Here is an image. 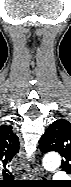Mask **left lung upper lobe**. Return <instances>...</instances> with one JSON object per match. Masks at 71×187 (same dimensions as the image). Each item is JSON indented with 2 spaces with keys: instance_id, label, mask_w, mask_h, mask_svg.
<instances>
[{
  "instance_id": "5c2ea615",
  "label": "left lung upper lobe",
  "mask_w": 71,
  "mask_h": 187,
  "mask_svg": "<svg viewBox=\"0 0 71 187\" xmlns=\"http://www.w3.org/2000/svg\"><path fill=\"white\" fill-rule=\"evenodd\" d=\"M39 148L43 153L58 152L62 157V168L71 173V123L60 119L53 122L39 142Z\"/></svg>"
}]
</instances>
